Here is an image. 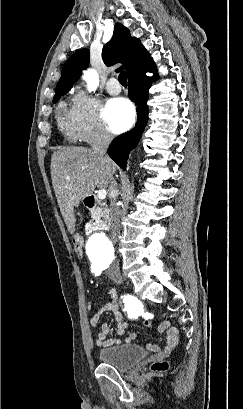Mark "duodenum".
Instances as JSON below:
<instances>
[{
	"label": "duodenum",
	"instance_id": "duodenum-1",
	"mask_svg": "<svg viewBox=\"0 0 243 409\" xmlns=\"http://www.w3.org/2000/svg\"><path fill=\"white\" fill-rule=\"evenodd\" d=\"M85 206L90 210H99L103 208V205L94 195H88L84 199ZM107 219L104 215L98 216L94 223L88 225L89 231H104L107 229Z\"/></svg>",
	"mask_w": 243,
	"mask_h": 409
}]
</instances>
